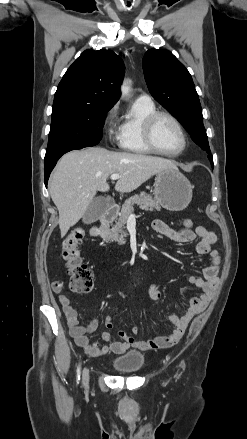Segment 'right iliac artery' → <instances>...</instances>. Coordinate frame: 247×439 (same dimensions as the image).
<instances>
[{
	"instance_id": "82829eb1",
	"label": "right iliac artery",
	"mask_w": 247,
	"mask_h": 439,
	"mask_svg": "<svg viewBox=\"0 0 247 439\" xmlns=\"http://www.w3.org/2000/svg\"><path fill=\"white\" fill-rule=\"evenodd\" d=\"M80 374H81V369H80V366H79L78 369H77V383H79Z\"/></svg>"
}]
</instances>
